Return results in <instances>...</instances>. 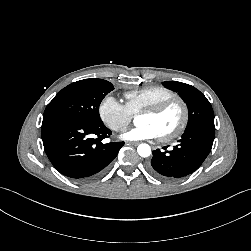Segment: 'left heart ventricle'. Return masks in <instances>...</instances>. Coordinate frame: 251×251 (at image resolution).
<instances>
[{
    "label": "left heart ventricle",
    "instance_id": "left-heart-ventricle-1",
    "mask_svg": "<svg viewBox=\"0 0 251 251\" xmlns=\"http://www.w3.org/2000/svg\"><path fill=\"white\" fill-rule=\"evenodd\" d=\"M181 109L173 105L159 115L140 114L137 118L138 124H149L155 128L159 136L174 130L181 120Z\"/></svg>",
    "mask_w": 251,
    "mask_h": 251
}]
</instances>
